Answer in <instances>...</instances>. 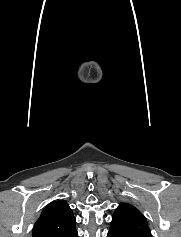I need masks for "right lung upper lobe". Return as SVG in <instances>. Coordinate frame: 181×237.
I'll return each instance as SVG.
<instances>
[{
    "label": "right lung upper lobe",
    "instance_id": "obj_1",
    "mask_svg": "<svg viewBox=\"0 0 181 237\" xmlns=\"http://www.w3.org/2000/svg\"><path fill=\"white\" fill-rule=\"evenodd\" d=\"M76 220L64 200L51 202L42 211L33 227L32 237H73Z\"/></svg>",
    "mask_w": 181,
    "mask_h": 237
}]
</instances>
